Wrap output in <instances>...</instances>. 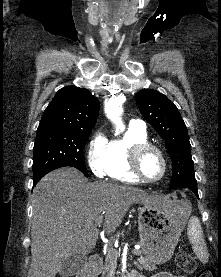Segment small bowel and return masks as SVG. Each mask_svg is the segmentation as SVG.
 I'll return each mask as SVG.
<instances>
[{
	"label": "small bowel",
	"mask_w": 221,
	"mask_h": 277,
	"mask_svg": "<svg viewBox=\"0 0 221 277\" xmlns=\"http://www.w3.org/2000/svg\"><path fill=\"white\" fill-rule=\"evenodd\" d=\"M136 277H142V276L136 275ZM153 277H186V276H183V275H176V274L169 273V272H162V273L156 274V275L153 276Z\"/></svg>",
	"instance_id": "1"
}]
</instances>
